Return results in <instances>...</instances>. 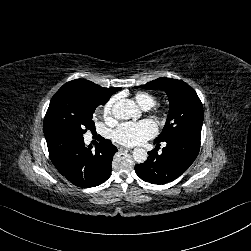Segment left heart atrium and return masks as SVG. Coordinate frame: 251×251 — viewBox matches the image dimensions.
I'll use <instances>...</instances> for the list:
<instances>
[{
    "instance_id": "left-heart-atrium-1",
    "label": "left heart atrium",
    "mask_w": 251,
    "mask_h": 251,
    "mask_svg": "<svg viewBox=\"0 0 251 251\" xmlns=\"http://www.w3.org/2000/svg\"><path fill=\"white\" fill-rule=\"evenodd\" d=\"M157 133V126L151 120L141 122L121 123L112 132L113 140L121 145H138L154 137Z\"/></svg>"
}]
</instances>
